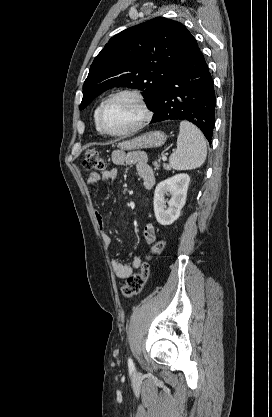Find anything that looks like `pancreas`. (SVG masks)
Returning <instances> with one entry per match:
<instances>
[{
	"label": "pancreas",
	"mask_w": 272,
	"mask_h": 417,
	"mask_svg": "<svg viewBox=\"0 0 272 417\" xmlns=\"http://www.w3.org/2000/svg\"><path fill=\"white\" fill-rule=\"evenodd\" d=\"M154 167H155V170H157L158 168H159V165H158V163H154ZM163 167L166 169V170H170V167H169V165H167V164H164L163 165Z\"/></svg>",
	"instance_id": "obj_1"
}]
</instances>
